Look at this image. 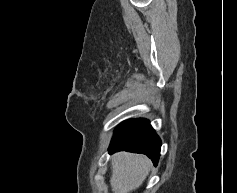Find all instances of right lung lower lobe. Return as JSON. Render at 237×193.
<instances>
[{
	"label": "right lung lower lobe",
	"instance_id": "obj_1",
	"mask_svg": "<svg viewBox=\"0 0 237 193\" xmlns=\"http://www.w3.org/2000/svg\"><path fill=\"white\" fill-rule=\"evenodd\" d=\"M161 140L146 119L127 120L114 132L110 153L125 150L147 155L156 166L160 156Z\"/></svg>",
	"mask_w": 237,
	"mask_h": 193
}]
</instances>
